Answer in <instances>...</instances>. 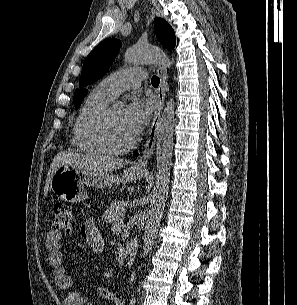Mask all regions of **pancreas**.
<instances>
[{
	"instance_id": "1",
	"label": "pancreas",
	"mask_w": 297,
	"mask_h": 305,
	"mask_svg": "<svg viewBox=\"0 0 297 305\" xmlns=\"http://www.w3.org/2000/svg\"><path fill=\"white\" fill-rule=\"evenodd\" d=\"M124 214L121 201L114 200L103 214L104 221L115 224Z\"/></svg>"
}]
</instances>
